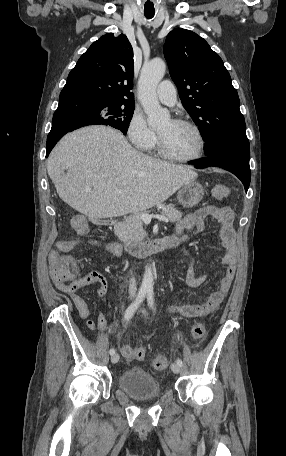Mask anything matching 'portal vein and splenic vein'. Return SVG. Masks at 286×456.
<instances>
[{
  "label": "portal vein and splenic vein",
  "mask_w": 286,
  "mask_h": 456,
  "mask_svg": "<svg viewBox=\"0 0 286 456\" xmlns=\"http://www.w3.org/2000/svg\"><path fill=\"white\" fill-rule=\"evenodd\" d=\"M86 190L90 191L91 188H87ZM140 217L145 223H150L152 218H155L157 220H160V221H163V222H166V223L169 222V219L167 217L162 216V215H150L148 213H142Z\"/></svg>",
  "instance_id": "1"
}]
</instances>
